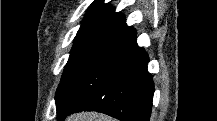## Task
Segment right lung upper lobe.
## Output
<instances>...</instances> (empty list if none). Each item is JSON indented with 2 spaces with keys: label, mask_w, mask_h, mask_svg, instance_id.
Masks as SVG:
<instances>
[{
  "label": "right lung upper lobe",
  "mask_w": 217,
  "mask_h": 121,
  "mask_svg": "<svg viewBox=\"0 0 217 121\" xmlns=\"http://www.w3.org/2000/svg\"><path fill=\"white\" fill-rule=\"evenodd\" d=\"M101 22H116L125 24L124 14L115 12L108 4H104L102 0L95 1L87 11L81 26L101 23Z\"/></svg>",
  "instance_id": "cb5924a9"
}]
</instances>
